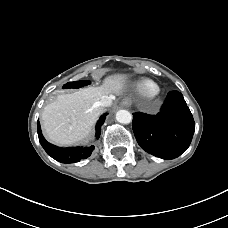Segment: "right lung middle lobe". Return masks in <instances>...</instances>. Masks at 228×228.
Wrapping results in <instances>:
<instances>
[{"label":"right lung middle lobe","instance_id":"dd1d6c3e","mask_svg":"<svg viewBox=\"0 0 228 228\" xmlns=\"http://www.w3.org/2000/svg\"><path fill=\"white\" fill-rule=\"evenodd\" d=\"M90 82L86 80L69 82L64 85V88H80L82 86L88 85Z\"/></svg>","mask_w":228,"mask_h":228}]
</instances>
